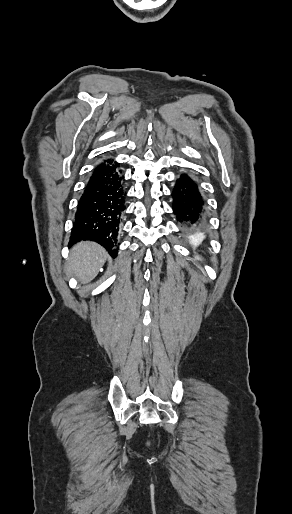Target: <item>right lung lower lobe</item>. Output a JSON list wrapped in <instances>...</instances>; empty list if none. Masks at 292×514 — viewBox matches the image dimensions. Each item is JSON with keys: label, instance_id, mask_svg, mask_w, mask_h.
<instances>
[{"label": "right lung lower lobe", "instance_id": "1", "mask_svg": "<svg viewBox=\"0 0 292 514\" xmlns=\"http://www.w3.org/2000/svg\"><path fill=\"white\" fill-rule=\"evenodd\" d=\"M125 201V180L119 164L104 160L94 168L79 199L69 244L93 240L114 257Z\"/></svg>", "mask_w": 292, "mask_h": 514}]
</instances>
